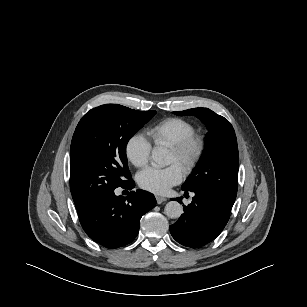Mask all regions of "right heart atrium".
<instances>
[{
	"instance_id": "obj_1",
	"label": "right heart atrium",
	"mask_w": 307,
	"mask_h": 307,
	"mask_svg": "<svg viewBox=\"0 0 307 307\" xmlns=\"http://www.w3.org/2000/svg\"><path fill=\"white\" fill-rule=\"evenodd\" d=\"M151 150V143L142 134L131 136L125 146L127 159L138 168L148 164Z\"/></svg>"
}]
</instances>
